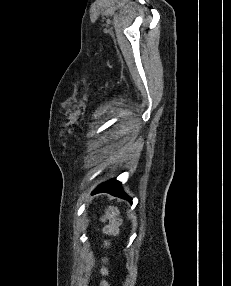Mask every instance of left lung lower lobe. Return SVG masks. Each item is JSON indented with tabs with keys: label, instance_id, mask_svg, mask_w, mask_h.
I'll use <instances>...</instances> for the list:
<instances>
[{
	"label": "left lung lower lobe",
	"instance_id": "obj_1",
	"mask_svg": "<svg viewBox=\"0 0 231 286\" xmlns=\"http://www.w3.org/2000/svg\"><path fill=\"white\" fill-rule=\"evenodd\" d=\"M100 192H107L110 193L114 196L121 197L124 199H127L128 201L132 202V199L128 197L123 191L120 186V183L116 181L115 179H112L110 181H107L101 185H99L93 192L95 193H100Z\"/></svg>",
	"mask_w": 231,
	"mask_h": 286
}]
</instances>
